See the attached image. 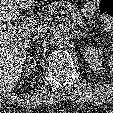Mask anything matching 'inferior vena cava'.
Here are the masks:
<instances>
[{
    "label": "inferior vena cava",
    "instance_id": "obj_1",
    "mask_svg": "<svg viewBox=\"0 0 113 113\" xmlns=\"http://www.w3.org/2000/svg\"><path fill=\"white\" fill-rule=\"evenodd\" d=\"M49 29L47 24L36 26L32 29V32L36 35L43 36V34Z\"/></svg>",
    "mask_w": 113,
    "mask_h": 113
}]
</instances>
